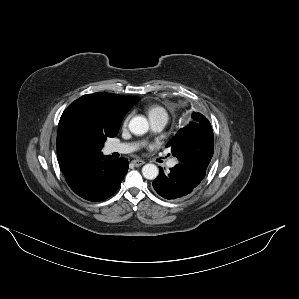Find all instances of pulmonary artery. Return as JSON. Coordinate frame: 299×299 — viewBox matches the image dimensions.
Segmentation results:
<instances>
[{
  "label": "pulmonary artery",
  "instance_id": "obj_1",
  "mask_svg": "<svg viewBox=\"0 0 299 299\" xmlns=\"http://www.w3.org/2000/svg\"><path fill=\"white\" fill-rule=\"evenodd\" d=\"M167 122H168V116L166 114H161L150 119L151 127L154 132H160L161 130H163ZM137 147L138 144H133V143H113L108 147V151L110 153L126 154V153L133 152L134 150L137 149ZM175 164H176L175 159H170L167 162V166L169 168L174 167Z\"/></svg>",
  "mask_w": 299,
  "mask_h": 299
}]
</instances>
